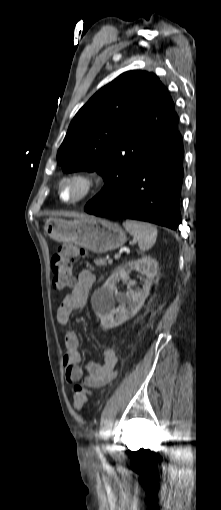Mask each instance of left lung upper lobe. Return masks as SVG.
Here are the masks:
<instances>
[{"label": "left lung upper lobe", "mask_w": 221, "mask_h": 510, "mask_svg": "<svg viewBox=\"0 0 221 510\" xmlns=\"http://www.w3.org/2000/svg\"><path fill=\"white\" fill-rule=\"evenodd\" d=\"M173 106L154 74L129 71L78 111L57 162L64 172L96 170L103 176V189L88 203L99 208L111 202L152 151L180 135Z\"/></svg>", "instance_id": "5c2ea615"}]
</instances>
